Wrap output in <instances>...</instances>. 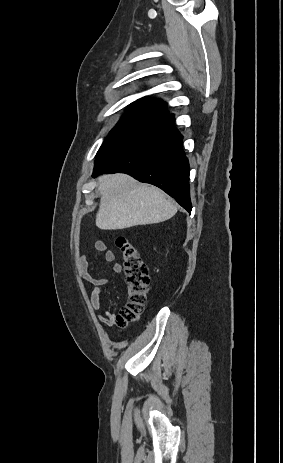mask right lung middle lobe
I'll return each instance as SVG.
<instances>
[{
    "instance_id": "dd1d6c3e",
    "label": "right lung middle lobe",
    "mask_w": 283,
    "mask_h": 463,
    "mask_svg": "<svg viewBox=\"0 0 283 463\" xmlns=\"http://www.w3.org/2000/svg\"><path fill=\"white\" fill-rule=\"evenodd\" d=\"M161 116L162 114L159 111L147 108L139 104H131L126 114L111 130L108 137L100 147L98 153L122 137L150 124Z\"/></svg>"
}]
</instances>
